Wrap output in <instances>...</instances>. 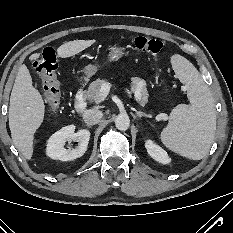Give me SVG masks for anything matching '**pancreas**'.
Masks as SVG:
<instances>
[{
	"instance_id": "obj_1",
	"label": "pancreas",
	"mask_w": 233,
	"mask_h": 233,
	"mask_svg": "<svg viewBox=\"0 0 233 233\" xmlns=\"http://www.w3.org/2000/svg\"><path fill=\"white\" fill-rule=\"evenodd\" d=\"M104 83H107V81L102 79H96L91 82L85 94L86 99L90 102L100 103L103 100V97L100 94V89ZM130 87L132 92L135 93V100L140 105L144 106L149 100L145 80L139 77H132Z\"/></svg>"
}]
</instances>
